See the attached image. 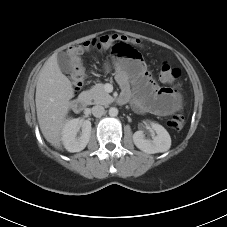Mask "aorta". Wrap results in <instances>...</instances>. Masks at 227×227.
Segmentation results:
<instances>
[{
    "mask_svg": "<svg viewBox=\"0 0 227 227\" xmlns=\"http://www.w3.org/2000/svg\"><path fill=\"white\" fill-rule=\"evenodd\" d=\"M109 115H110L111 117L117 116V115H118V109L115 108V107H111V108L109 109Z\"/></svg>",
    "mask_w": 227,
    "mask_h": 227,
    "instance_id": "1",
    "label": "aorta"
}]
</instances>
